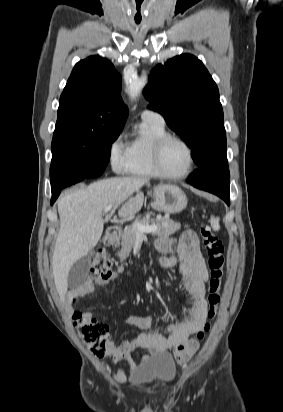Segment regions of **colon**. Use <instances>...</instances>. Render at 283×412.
<instances>
[{
    "mask_svg": "<svg viewBox=\"0 0 283 412\" xmlns=\"http://www.w3.org/2000/svg\"><path fill=\"white\" fill-rule=\"evenodd\" d=\"M200 233L208 254L210 272L207 293V317L209 322L205 323L204 328L198 331L194 338L181 350L183 352L195 349L198 342L202 341L210 330V321L214 319L220 302V289L224 275L225 252L222 241L209 227L203 226ZM112 273V263L108 254L103 248H99L92 258L90 276L94 279H107ZM72 322L82 342L91 353L96 357H103L107 352V344L110 338L108 325L86 315L84 312H74Z\"/></svg>",
    "mask_w": 283,
    "mask_h": 412,
    "instance_id": "colon-1",
    "label": "colon"
}]
</instances>
